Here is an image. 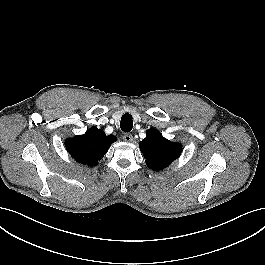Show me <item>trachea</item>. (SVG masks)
Segmentation results:
<instances>
[{"instance_id": "3493384b", "label": "trachea", "mask_w": 265, "mask_h": 265, "mask_svg": "<svg viewBox=\"0 0 265 265\" xmlns=\"http://www.w3.org/2000/svg\"><path fill=\"white\" fill-rule=\"evenodd\" d=\"M120 128L123 132H130L133 128L132 116L129 113H126L122 116L120 121Z\"/></svg>"}]
</instances>
